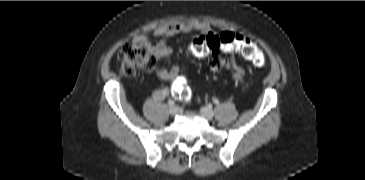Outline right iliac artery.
<instances>
[{"label": "right iliac artery", "instance_id": "1", "mask_svg": "<svg viewBox=\"0 0 365 180\" xmlns=\"http://www.w3.org/2000/svg\"><path fill=\"white\" fill-rule=\"evenodd\" d=\"M168 105H169V106H173V105H175V102H174L173 100H169V101H168Z\"/></svg>", "mask_w": 365, "mask_h": 180}]
</instances>
